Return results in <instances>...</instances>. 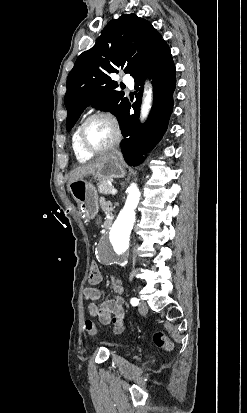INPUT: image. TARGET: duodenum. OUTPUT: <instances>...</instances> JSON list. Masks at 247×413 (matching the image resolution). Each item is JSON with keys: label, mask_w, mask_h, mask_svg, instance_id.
I'll return each mask as SVG.
<instances>
[{"label": "duodenum", "mask_w": 247, "mask_h": 413, "mask_svg": "<svg viewBox=\"0 0 247 413\" xmlns=\"http://www.w3.org/2000/svg\"><path fill=\"white\" fill-rule=\"evenodd\" d=\"M111 224H112V221H111V220H107V221L105 222V228H106V229H109V228L111 227Z\"/></svg>", "instance_id": "obj_1"}]
</instances>
